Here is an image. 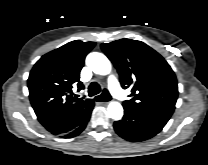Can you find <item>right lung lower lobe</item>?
Listing matches in <instances>:
<instances>
[{
    "label": "right lung lower lobe",
    "mask_w": 208,
    "mask_h": 165,
    "mask_svg": "<svg viewBox=\"0 0 208 165\" xmlns=\"http://www.w3.org/2000/svg\"><path fill=\"white\" fill-rule=\"evenodd\" d=\"M92 109L87 113V115L84 117V119L79 123V125L77 127H75L74 129H72L66 133L60 134V137L73 138V137L78 136L85 129V127L90 119Z\"/></svg>",
    "instance_id": "obj_1"
}]
</instances>
